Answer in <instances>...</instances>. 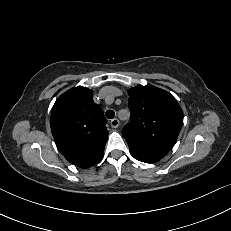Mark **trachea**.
Segmentation results:
<instances>
[{
  "mask_svg": "<svg viewBox=\"0 0 231 231\" xmlns=\"http://www.w3.org/2000/svg\"><path fill=\"white\" fill-rule=\"evenodd\" d=\"M114 116H115V112H114L113 110H107V111H106V117H107L108 119H113Z\"/></svg>",
  "mask_w": 231,
  "mask_h": 231,
  "instance_id": "1",
  "label": "trachea"
}]
</instances>
